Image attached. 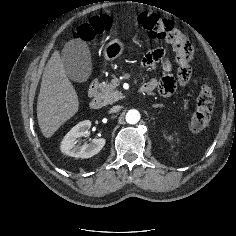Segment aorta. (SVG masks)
<instances>
[{
  "label": "aorta",
  "instance_id": "aorta-1",
  "mask_svg": "<svg viewBox=\"0 0 236 236\" xmlns=\"http://www.w3.org/2000/svg\"><path fill=\"white\" fill-rule=\"evenodd\" d=\"M140 120V113L135 110H129L126 114V122L128 124H136Z\"/></svg>",
  "mask_w": 236,
  "mask_h": 236
}]
</instances>
